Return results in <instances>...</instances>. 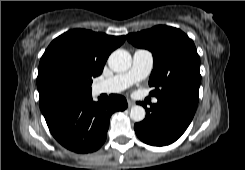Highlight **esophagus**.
<instances>
[{"instance_id": "34e87169", "label": "esophagus", "mask_w": 245, "mask_h": 170, "mask_svg": "<svg viewBox=\"0 0 245 170\" xmlns=\"http://www.w3.org/2000/svg\"><path fill=\"white\" fill-rule=\"evenodd\" d=\"M128 107H132L135 103L132 100H127Z\"/></svg>"}]
</instances>
